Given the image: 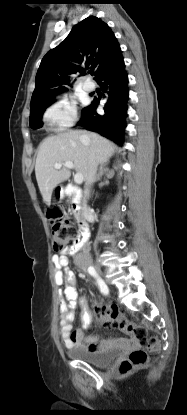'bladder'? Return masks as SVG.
<instances>
[{
  "label": "bladder",
  "mask_w": 187,
  "mask_h": 415,
  "mask_svg": "<svg viewBox=\"0 0 187 415\" xmlns=\"http://www.w3.org/2000/svg\"><path fill=\"white\" fill-rule=\"evenodd\" d=\"M122 352L121 347H114L103 351H88L84 348H70L67 354L73 359L89 363L97 367L110 365Z\"/></svg>",
  "instance_id": "1"
}]
</instances>
